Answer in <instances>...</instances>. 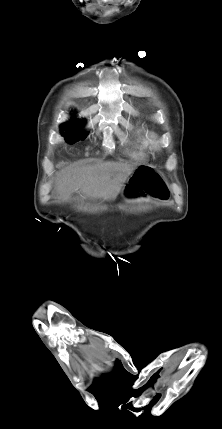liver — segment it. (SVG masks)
Segmentation results:
<instances>
[{"mask_svg":"<svg viewBox=\"0 0 222 429\" xmlns=\"http://www.w3.org/2000/svg\"><path fill=\"white\" fill-rule=\"evenodd\" d=\"M136 167L124 162L70 166L56 176L55 191L66 202L73 193L92 199L114 200Z\"/></svg>","mask_w":222,"mask_h":429,"instance_id":"liver-1","label":"liver"}]
</instances>
